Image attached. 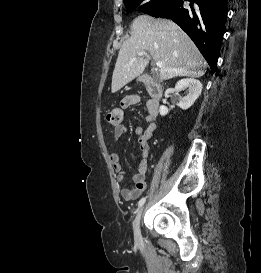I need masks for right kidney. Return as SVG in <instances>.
<instances>
[{
  "label": "right kidney",
  "instance_id": "obj_1",
  "mask_svg": "<svg viewBox=\"0 0 261 273\" xmlns=\"http://www.w3.org/2000/svg\"><path fill=\"white\" fill-rule=\"evenodd\" d=\"M182 89H188V94L183 98L177 99V105L187 110L198 99L202 92V84L199 80L193 78H186L179 80L174 87V92L177 93ZM169 112L168 108L164 105L159 107V113L161 116H165Z\"/></svg>",
  "mask_w": 261,
  "mask_h": 273
}]
</instances>
